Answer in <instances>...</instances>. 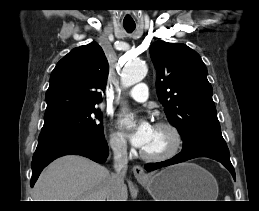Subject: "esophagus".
<instances>
[{"mask_svg": "<svg viewBox=\"0 0 259 211\" xmlns=\"http://www.w3.org/2000/svg\"><path fill=\"white\" fill-rule=\"evenodd\" d=\"M132 170H133V174L137 180L148 179L147 174L145 173L144 169L140 165H135Z\"/></svg>", "mask_w": 259, "mask_h": 211, "instance_id": "obj_1", "label": "esophagus"}]
</instances>
